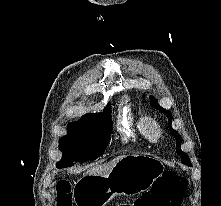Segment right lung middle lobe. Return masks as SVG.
I'll use <instances>...</instances> for the list:
<instances>
[{
	"label": "right lung middle lobe",
	"instance_id": "dd1d6c3e",
	"mask_svg": "<svg viewBox=\"0 0 221 206\" xmlns=\"http://www.w3.org/2000/svg\"><path fill=\"white\" fill-rule=\"evenodd\" d=\"M112 132L111 112L83 116L80 121L68 125V133L59 140V149L63 158L57 162V168L73 165L101 156Z\"/></svg>",
	"mask_w": 221,
	"mask_h": 206
}]
</instances>
